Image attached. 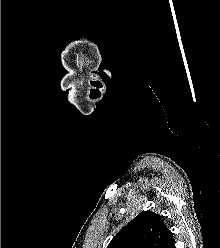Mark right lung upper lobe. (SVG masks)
<instances>
[{
	"label": "right lung upper lobe",
	"instance_id": "obj_1",
	"mask_svg": "<svg viewBox=\"0 0 220 248\" xmlns=\"http://www.w3.org/2000/svg\"><path fill=\"white\" fill-rule=\"evenodd\" d=\"M172 241L162 217L143 211L114 236L107 248H166Z\"/></svg>",
	"mask_w": 220,
	"mask_h": 248
}]
</instances>
